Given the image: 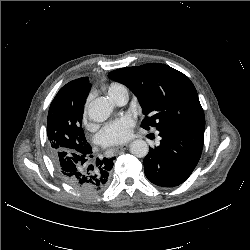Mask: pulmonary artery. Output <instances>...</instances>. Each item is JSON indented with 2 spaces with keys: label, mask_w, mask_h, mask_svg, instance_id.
<instances>
[{
  "label": "pulmonary artery",
  "mask_w": 250,
  "mask_h": 250,
  "mask_svg": "<svg viewBox=\"0 0 250 250\" xmlns=\"http://www.w3.org/2000/svg\"><path fill=\"white\" fill-rule=\"evenodd\" d=\"M128 100V92H122L120 93L116 99L114 100L118 105H124L126 104Z\"/></svg>",
  "instance_id": "e3ab8cb5"
}]
</instances>
